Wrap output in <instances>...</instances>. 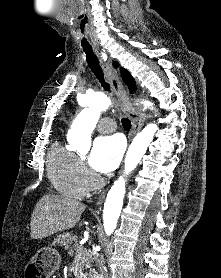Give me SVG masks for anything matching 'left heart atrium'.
Segmentation results:
<instances>
[{
  "mask_svg": "<svg viewBox=\"0 0 221 278\" xmlns=\"http://www.w3.org/2000/svg\"><path fill=\"white\" fill-rule=\"evenodd\" d=\"M123 150L124 144L120 137H99L93 144L89 163L96 172L108 174L118 166Z\"/></svg>",
  "mask_w": 221,
  "mask_h": 278,
  "instance_id": "1",
  "label": "left heart atrium"
}]
</instances>
